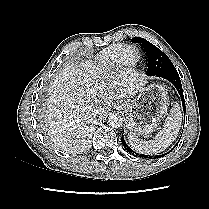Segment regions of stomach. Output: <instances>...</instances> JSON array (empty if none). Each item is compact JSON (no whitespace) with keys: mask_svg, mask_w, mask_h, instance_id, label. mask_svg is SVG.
I'll use <instances>...</instances> for the list:
<instances>
[{"mask_svg":"<svg viewBox=\"0 0 209 209\" xmlns=\"http://www.w3.org/2000/svg\"><path fill=\"white\" fill-rule=\"evenodd\" d=\"M169 105L166 89L160 84H151L139 90L134 100L120 106L125 114V130L129 135H147L153 132Z\"/></svg>","mask_w":209,"mask_h":209,"instance_id":"obj_1","label":"stomach"}]
</instances>
